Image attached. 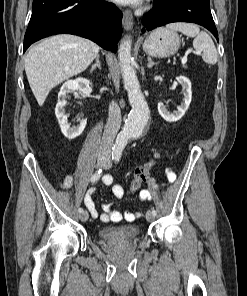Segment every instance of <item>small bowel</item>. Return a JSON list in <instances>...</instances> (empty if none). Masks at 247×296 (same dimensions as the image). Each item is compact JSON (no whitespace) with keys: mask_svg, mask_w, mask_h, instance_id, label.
<instances>
[{"mask_svg":"<svg viewBox=\"0 0 247 296\" xmlns=\"http://www.w3.org/2000/svg\"><path fill=\"white\" fill-rule=\"evenodd\" d=\"M168 176L170 180H173L174 175L172 173V171H168ZM72 182H73V177L72 175L68 174L64 180L61 182V187L64 189H69L72 186ZM102 183L104 185L110 186L113 184V178L111 175H104L102 177ZM153 187V186H151ZM112 191L114 196L117 199H121L124 196V189L121 185L118 184H114L112 186ZM95 190L91 189L89 191L86 192V194L84 195V204L87 208V210L89 211V213L91 214V216L93 218H100V220L104 223H108V222H120L122 220H126V221H134L139 214L135 213V212H125V213H121L119 211H116L113 209L112 204H103L102 205V213H99L95 203L93 201V194H94ZM140 201H150L152 199V194L149 190H141L139 192L138 195Z\"/></svg>","mask_w":247,"mask_h":296,"instance_id":"c3829d8e","label":"small bowel"}]
</instances>
